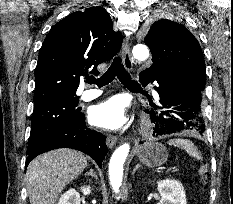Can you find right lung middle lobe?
<instances>
[{"label": "right lung middle lobe", "instance_id": "obj_1", "mask_svg": "<svg viewBox=\"0 0 233 204\" xmlns=\"http://www.w3.org/2000/svg\"><path fill=\"white\" fill-rule=\"evenodd\" d=\"M79 97H53L34 103L28 148L75 123L83 113L75 109Z\"/></svg>", "mask_w": 233, "mask_h": 204}]
</instances>
